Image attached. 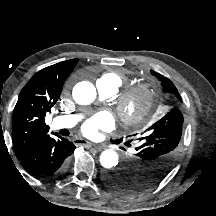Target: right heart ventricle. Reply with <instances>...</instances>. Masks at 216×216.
I'll use <instances>...</instances> for the list:
<instances>
[{
    "instance_id": "obj_1",
    "label": "right heart ventricle",
    "mask_w": 216,
    "mask_h": 216,
    "mask_svg": "<svg viewBox=\"0 0 216 216\" xmlns=\"http://www.w3.org/2000/svg\"><path fill=\"white\" fill-rule=\"evenodd\" d=\"M100 79L108 81L115 90H118L128 81V76L124 70H111L105 72Z\"/></svg>"
}]
</instances>
